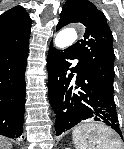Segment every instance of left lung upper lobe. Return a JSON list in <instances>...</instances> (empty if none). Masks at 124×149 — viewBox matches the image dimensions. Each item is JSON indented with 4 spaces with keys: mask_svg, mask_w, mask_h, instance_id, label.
I'll use <instances>...</instances> for the list:
<instances>
[{
    "mask_svg": "<svg viewBox=\"0 0 124 149\" xmlns=\"http://www.w3.org/2000/svg\"><path fill=\"white\" fill-rule=\"evenodd\" d=\"M75 22L85 26V33L82 39L69 48L85 64L91 76L113 89V36L104 14L88 0H68L56 30Z\"/></svg>",
    "mask_w": 124,
    "mask_h": 149,
    "instance_id": "left-lung-upper-lobe-1",
    "label": "left lung upper lobe"
}]
</instances>
